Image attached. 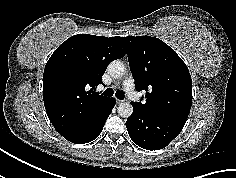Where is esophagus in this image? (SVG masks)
<instances>
[{"instance_id":"34e87169","label":"esophagus","mask_w":236,"mask_h":178,"mask_svg":"<svg viewBox=\"0 0 236 178\" xmlns=\"http://www.w3.org/2000/svg\"><path fill=\"white\" fill-rule=\"evenodd\" d=\"M123 102H124L123 100L116 99V103H117V104H121V103H123Z\"/></svg>"}]
</instances>
